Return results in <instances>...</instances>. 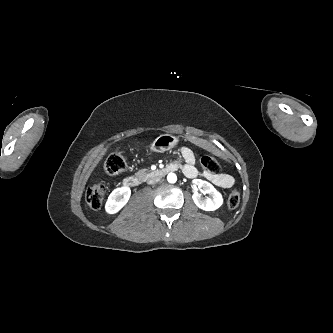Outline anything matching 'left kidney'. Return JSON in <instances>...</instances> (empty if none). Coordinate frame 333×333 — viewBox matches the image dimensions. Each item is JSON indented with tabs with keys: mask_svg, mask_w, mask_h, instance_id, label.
<instances>
[{
	"mask_svg": "<svg viewBox=\"0 0 333 333\" xmlns=\"http://www.w3.org/2000/svg\"><path fill=\"white\" fill-rule=\"evenodd\" d=\"M193 183L201 188L204 193L210 195L208 198H202L201 194L195 191L192 195V199L197 207L205 211H214L223 204L222 195L212 184L201 179H195Z\"/></svg>",
	"mask_w": 333,
	"mask_h": 333,
	"instance_id": "left-kidney-1",
	"label": "left kidney"
}]
</instances>
